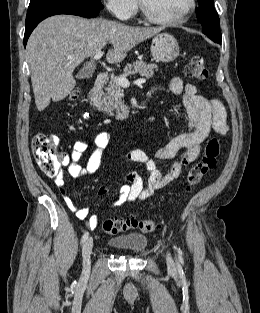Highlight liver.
I'll list each match as a JSON object with an SVG mask.
<instances>
[{
  "label": "liver",
  "instance_id": "liver-1",
  "mask_svg": "<svg viewBox=\"0 0 260 313\" xmlns=\"http://www.w3.org/2000/svg\"><path fill=\"white\" fill-rule=\"evenodd\" d=\"M161 27H132L103 18L85 19L56 15L42 21L27 43V60L35 103L43 111L50 101H60L76 85L75 68L109 42L108 63L123 61L138 43L154 36Z\"/></svg>",
  "mask_w": 260,
  "mask_h": 313
}]
</instances>
